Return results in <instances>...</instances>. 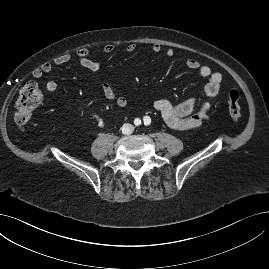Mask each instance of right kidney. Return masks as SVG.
<instances>
[{
    "instance_id": "right-kidney-1",
    "label": "right kidney",
    "mask_w": 269,
    "mask_h": 269,
    "mask_svg": "<svg viewBox=\"0 0 269 269\" xmlns=\"http://www.w3.org/2000/svg\"><path fill=\"white\" fill-rule=\"evenodd\" d=\"M95 124H96V126H97V127L101 128V127H103V126H104V124H105V123H104V121H103V120L99 119V120H97V121H96V123H95Z\"/></svg>"
}]
</instances>
